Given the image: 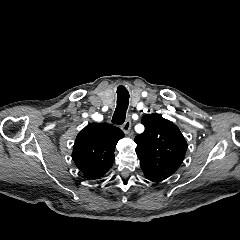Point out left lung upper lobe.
<instances>
[{
	"instance_id": "left-lung-upper-lobe-1",
	"label": "left lung upper lobe",
	"mask_w": 240,
	"mask_h": 240,
	"mask_svg": "<svg viewBox=\"0 0 240 240\" xmlns=\"http://www.w3.org/2000/svg\"><path fill=\"white\" fill-rule=\"evenodd\" d=\"M141 123L145 131L135 138L141 168L165 180L183 162L187 143L179 128L157 113L144 115Z\"/></svg>"
}]
</instances>
